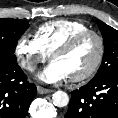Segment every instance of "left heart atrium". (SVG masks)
Segmentation results:
<instances>
[{
  "label": "left heart atrium",
  "instance_id": "1",
  "mask_svg": "<svg viewBox=\"0 0 118 118\" xmlns=\"http://www.w3.org/2000/svg\"><path fill=\"white\" fill-rule=\"evenodd\" d=\"M38 78L45 83H59L68 78L65 69L58 63L52 62L38 74Z\"/></svg>",
  "mask_w": 118,
  "mask_h": 118
}]
</instances>
